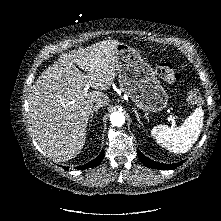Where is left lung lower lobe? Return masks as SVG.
<instances>
[{"label":"left lung lower lobe","instance_id":"obj_1","mask_svg":"<svg viewBox=\"0 0 221 221\" xmlns=\"http://www.w3.org/2000/svg\"><path fill=\"white\" fill-rule=\"evenodd\" d=\"M137 153L141 162L149 168L160 169V170H170V169H174L180 166L183 163V162H180L178 164H163V163H159V162L153 161L145 157L140 151H138Z\"/></svg>","mask_w":221,"mask_h":221}]
</instances>
